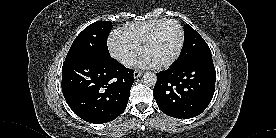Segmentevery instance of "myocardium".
<instances>
[{
  "label": "myocardium",
  "mask_w": 276,
  "mask_h": 138,
  "mask_svg": "<svg viewBox=\"0 0 276 138\" xmlns=\"http://www.w3.org/2000/svg\"><path fill=\"white\" fill-rule=\"evenodd\" d=\"M169 22L176 24V26L178 27V29L180 31V43H179V46L177 48L176 53L174 54V56L169 61H167L165 63H162V64H159V65H155V67L157 69H165V68H168L171 65H173L178 60V58L180 57L181 52H182L183 47H184V44H185V31H184V28H183L182 24L176 19L166 18V19H163L161 22H159L151 30V32L149 33L148 37L146 38L145 42L142 45V48H141L142 54L144 55L146 50L148 49V47L152 44V42L154 41V39L156 37V34H157L158 30L160 29V27L163 24L169 23Z\"/></svg>",
  "instance_id": "f54148a6"
}]
</instances>
